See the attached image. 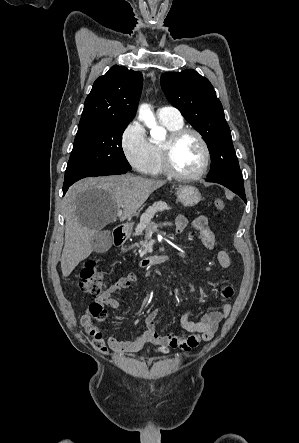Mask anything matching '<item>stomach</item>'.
<instances>
[{
  "label": "stomach",
  "mask_w": 299,
  "mask_h": 443,
  "mask_svg": "<svg viewBox=\"0 0 299 443\" xmlns=\"http://www.w3.org/2000/svg\"><path fill=\"white\" fill-rule=\"evenodd\" d=\"M177 200L183 206L192 207L197 205L201 200V193L199 190L191 185L180 186L177 189Z\"/></svg>",
  "instance_id": "1"
}]
</instances>
